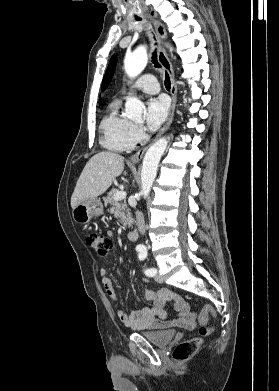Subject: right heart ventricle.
Segmentation results:
<instances>
[{"instance_id":"e07e8e85","label":"right heart ventricle","mask_w":279,"mask_h":391,"mask_svg":"<svg viewBox=\"0 0 279 391\" xmlns=\"http://www.w3.org/2000/svg\"><path fill=\"white\" fill-rule=\"evenodd\" d=\"M119 109L118 100L110 103L100 124L101 144L108 150L123 152L132 149L136 141L131 134L133 124L121 115Z\"/></svg>"}]
</instances>
